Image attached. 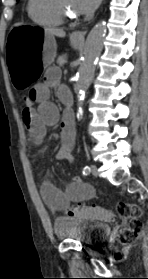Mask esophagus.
Here are the masks:
<instances>
[{
  "mask_svg": "<svg viewBox=\"0 0 148 279\" xmlns=\"http://www.w3.org/2000/svg\"><path fill=\"white\" fill-rule=\"evenodd\" d=\"M86 33H87V31H75V32L73 33V36H74L76 39L84 40Z\"/></svg>",
  "mask_w": 148,
  "mask_h": 279,
  "instance_id": "1",
  "label": "esophagus"
}]
</instances>
